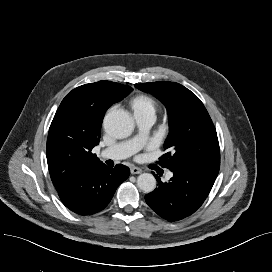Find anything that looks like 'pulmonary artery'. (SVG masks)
<instances>
[{
	"mask_svg": "<svg viewBox=\"0 0 272 272\" xmlns=\"http://www.w3.org/2000/svg\"><path fill=\"white\" fill-rule=\"evenodd\" d=\"M135 119L139 129L138 134L129 140L119 142L109 148L104 149L100 153L101 158L112 160L125 159L136 153L144 146L148 137V130L154 124L155 117L151 115L137 116Z\"/></svg>",
	"mask_w": 272,
	"mask_h": 272,
	"instance_id": "e3ab8cb5",
	"label": "pulmonary artery"
}]
</instances>
